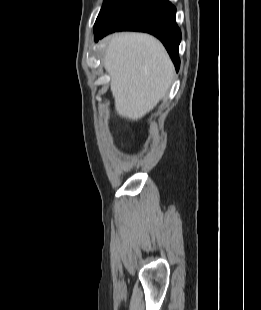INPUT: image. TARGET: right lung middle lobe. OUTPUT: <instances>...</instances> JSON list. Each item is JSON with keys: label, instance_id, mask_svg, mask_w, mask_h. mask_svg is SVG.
Segmentation results:
<instances>
[{"label": "right lung middle lobe", "instance_id": "1", "mask_svg": "<svg viewBox=\"0 0 261 310\" xmlns=\"http://www.w3.org/2000/svg\"><path fill=\"white\" fill-rule=\"evenodd\" d=\"M130 0H104L101 11L96 19L94 28L103 26L116 12Z\"/></svg>", "mask_w": 261, "mask_h": 310}]
</instances>
